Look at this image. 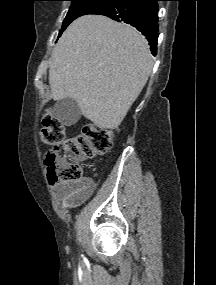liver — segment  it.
<instances>
[{
    "label": "liver",
    "mask_w": 216,
    "mask_h": 285,
    "mask_svg": "<svg viewBox=\"0 0 216 285\" xmlns=\"http://www.w3.org/2000/svg\"><path fill=\"white\" fill-rule=\"evenodd\" d=\"M152 68L148 42L136 29L105 16H82L53 50L51 97L72 98L97 127L117 129Z\"/></svg>",
    "instance_id": "obj_1"
}]
</instances>
